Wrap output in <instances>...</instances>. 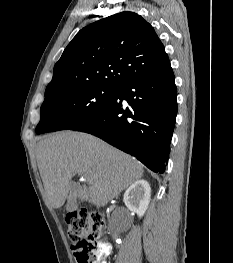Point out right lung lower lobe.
<instances>
[{
    "instance_id": "obj_1",
    "label": "right lung lower lobe",
    "mask_w": 233,
    "mask_h": 263,
    "mask_svg": "<svg viewBox=\"0 0 233 263\" xmlns=\"http://www.w3.org/2000/svg\"><path fill=\"white\" fill-rule=\"evenodd\" d=\"M176 99L170 67L161 74L120 85L105 109L72 130L95 135L152 171L163 173L177 115Z\"/></svg>"
}]
</instances>
